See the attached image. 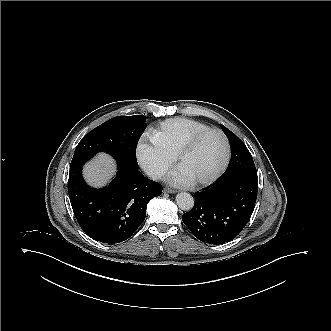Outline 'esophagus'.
<instances>
[{
  "instance_id": "34e87169",
  "label": "esophagus",
  "mask_w": 331,
  "mask_h": 331,
  "mask_svg": "<svg viewBox=\"0 0 331 331\" xmlns=\"http://www.w3.org/2000/svg\"><path fill=\"white\" fill-rule=\"evenodd\" d=\"M163 192L164 193H176L177 191L175 190V189H171V188H168V187H165L164 189H163Z\"/></svg>"
}]
</instances>
